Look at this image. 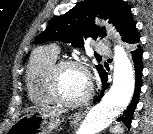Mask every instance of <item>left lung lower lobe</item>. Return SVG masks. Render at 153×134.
Segmentation results:
<instances>
[{
    "label": "left lung lower lobe",
    "instance_id": "0a47b994",
    "mask_svg": "<svg viewBox=\"0 0 153 134\" xmlns=\"http://www.w3.org/2000/svg\"><path fill=\"white\" fill-rule=\"evenodd\" d=\"M131 54H132V59L134 62L135 75H136L135 76L136 77L135 91H134V95L130 105L128 106L126 111L123 113V115H121L117 119L118 121H123L128 128H130L133 114L137 106V103L139 101V94H140L141 86H142L141 78H142V70H143V66H142L143 51L141 50L140 45H137L136 48L131 52ZM100 77L102 80V86L105 88H108L109 84L107 83V72L104 69L100 73ZM104 90L105 89H102L100 95L95 99L94 103L100 101V99L104 95Z\"/></svg>",
    "mask_w": 153,
    "mask_h": 134
}]
</instances>
